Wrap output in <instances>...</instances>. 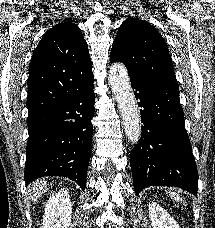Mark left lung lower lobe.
Instances as JSON below:
<instances>
[{"label": "left lung lower lobe", "instance_id": "obj_1", "mask_svg": "<svg viewBox=\"0 0 215 228\" xmlns=\"http://www.w3.org/2000/svg\"><path fill=\"white\" fill-rule=\"evenodd\" d=\"M139 99L142 134L130 156L136 195L149 186H174L197 196L198 172L175 81L130 78Z\"/></svg>", "mask_w": 215, "mask_h": 228}]
</instances>
